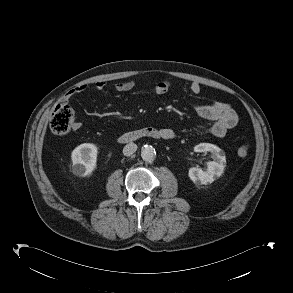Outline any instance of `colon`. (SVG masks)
<instances>
[{"instance_id": "colon-1", "label": "colon", "mask_w": 293, "mask_h": 293, "mask_svg": "<svg viewBox=\"0 0 293 293\" xmlns=\"http://www.w3.org/2000/svg\"><path fill=\"white\" fill-rule=\"evenodd\" d=\"M74 121L73 109L64 102L57 104L50 119V130L57 135H64L69 132ZM249 154L248 145H243L238 149L240 157H246Z\"/></svg>"}]
</instances>
